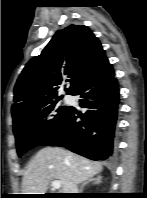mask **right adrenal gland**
<instances>
[{
  "instance_id": "right-adrenal-gland-1",
  "label": "right adrenal gland",
  "mask_w": 147,
  "mask_h": 198,
  "mask_svg": "<svg viewBox=\"0 0 147 198\" xmlns=\"http://www.w3.org/2000/svg\"><path fill=\"white\" fill-rule=\"evenodd\" d=\"M89 183H94V184H99V183H101V176H97L96 178H91V179L85 181V182L81 185L80 190H79V193H83L84 187H85L87 184H89Z\"/></svg>"
}]
</instances>
